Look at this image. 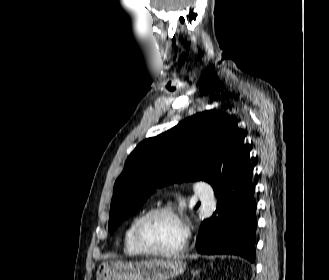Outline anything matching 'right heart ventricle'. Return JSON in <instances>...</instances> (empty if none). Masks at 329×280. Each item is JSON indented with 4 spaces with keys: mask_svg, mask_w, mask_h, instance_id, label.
Masks as SVG:
<instances>
[{
    "mask_svg": "<svg viewBox=\"0 0 329 280\" xmlns=\"http://www.w3.org/2000/svg\"><path fill=\"white\" fill-rule=\"evenodd\" d=\"M143 212H140L136 214L128 223L126 226V229L124 231L123 235V250L126 255L129 256H139L142 253L137 249L133 242V228L137 222V220L141 217Z\"/></svg>",
    "mask_w": 329,
    "mask_h": 280,
    "instance_id": "obj_1",
    "label": "right heart ventricle"
}]
</instances>
